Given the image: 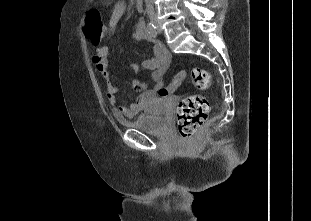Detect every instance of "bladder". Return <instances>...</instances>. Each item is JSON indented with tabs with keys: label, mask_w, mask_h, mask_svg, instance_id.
<instances>
[{
	"label": "bladder",
	"mask_w": 311,
	"mask_h": 221,
	"mask_svg": "<svg viewBox=\"0 0 311 221\" xmlns=\"http://www.w3.org/2000/svg\"><path fill=\"white\" fill-rule=\"evenodd\" d=\"M175 99V95L159 98L153 108H146L145 112L136 114L133 119L126 122V125L143 134L162 135L166 133L170 125L171 101Z\"/></svg>",
	"instance_id": "1"
}]
</instances>
